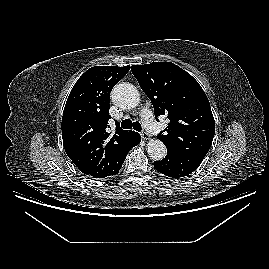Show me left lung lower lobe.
Masks as SVG:
<instances>
[{"label": "left lung lower lobe", "mask_w": 269, "mask_h": 269, "mask_svg": "<svg viewBox=\"0 0 269 269\" xmlns=\"http://www.w3.org/2000/svg\"><path fill=\"white\" fill-rule=\"evenodd\" d=\"M201 155H183L167 152L161 161H154L155 169L169 177H184L195 171L203 161Z\"/></svg>", "instance_id": "1"}]
</instances>
